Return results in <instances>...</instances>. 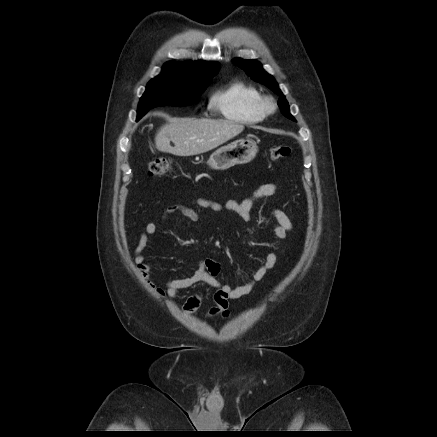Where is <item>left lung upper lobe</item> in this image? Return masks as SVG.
Returning a JSON list of instances; mask_svg holds the SVG:
<instances>
[{"mask_svg":"<svg viewBox=\"0 0 437 437\" xmlns=\"http://www.w3.org/2000/svg\"><path fill=\"white\" fill-rule=\"evenodd\" d=\"M233 63L242 68L246 71V73L255 81L266 85L270 89H272L277 95L280 96V99L278 101V105L282 111V113L289 119L296 121L294 117L289 112V105L287 100L285 99L284 95L280 91L278 84L276 83L275 79L267 74L263 69L261 64L254 60H243V59H234Z\"/></svg>","mask_w":437,"mask_h":437,"instance_id":"5c2ea615","label":"left lung upper lobe"}]
</instances>
